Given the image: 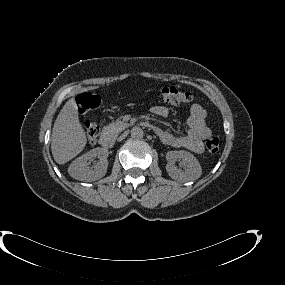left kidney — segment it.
I'll return each instance as SVG.
<instances>
[{
    "mask_svg": "<svg viewBox=\"0 0 285 285\" xmlns=\"http://www.w3.org/2000/svg\"><path fill=\"white\" fill-rule=\"evenodd\" d=\"M170 159L182 160L186 165V170L183 171L177 168L173 162H169L166 165V170L169 176L173 179L190 181L198 179L202 174V168L196 157L190 152L180 150V151H170L168 153Z\"/></svg>",
    "mask_w": 285,
    "mask_h": 285,
    "instance_id": "left-kidney-1",
    "label": "left kidney"
}]
</instances>
